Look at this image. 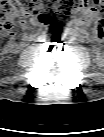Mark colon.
<instances>
[{
	"instance_id": "1",
	"label": "colon",
	"mask_w": 104,
	"mask_h": 137,
	"mask_svg": "<svg viewBox=\"0 0 104 137\" xmlns=\"http://www.w3.org/2000/svg\"><path fill=\"white\" fill-rule=\"evenodd\" d=\"M86 8L103 10L104 0H5L0 6L1 31H11L18 20L27 17H34L39 23L48 24L52 13L72 14ZM96 35L97 38L102 36L100 24Z\"/></svg>"
}]
</instances>
